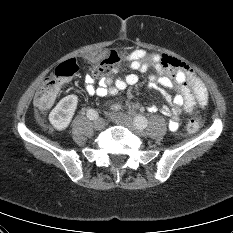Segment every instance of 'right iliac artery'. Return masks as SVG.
I'll use <instances>...</instances> for the list:
<instances>
[{
	"mask_svg": "<svg viewBox=\"0 0 233 233\" xmlns=\"http://www.w3.org/2000/svg\"><path fill=\"white\" fill-rule=\"evenodd\" d=\"M87 117H88L90 120L97 119V118H98V113H97L94 109H89V110L87 111Z\"/></svg>",
	"mask_w": 233,
	"mask_h": 233,
	"instance_id": "1",
	"label": "right iliac artery"
}]
</instances>
